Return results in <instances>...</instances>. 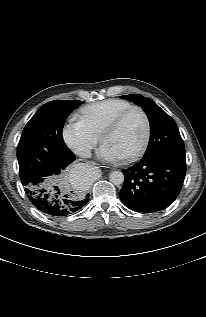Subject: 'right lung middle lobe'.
Returning <instances> with one entry per match:
<instances>
[{"label":"right lung middle lobe","mask_w":206,"mask_h":317,"mask_svg":"<svg viewBox=\"0 0 206 317\" xmlns=\"http://www.w3.org/2000/svg\"><path fill=\"white\" fill-rule=\"evenodd\" d=\"M82 103L77 100L50 101L27 123L17 146L23 185L43 176H47L51 183L60 181L64 172L56 163L57 154L69 150L62 137V128L68 115Z\"/></svg>","instance_id":"right-lung-middle-lobe-1"}]
</instances>
